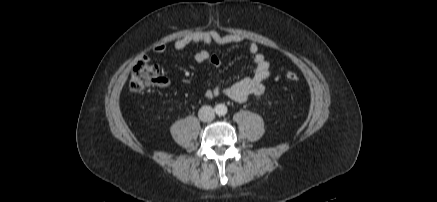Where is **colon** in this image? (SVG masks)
I'll return each instance as SVG.
<instances>
[{
  "instance_id": "colon-1",
  "label": "colon",
  "mask_w": 437,
  "mask_h": 202,
  "mask_svg": "<svg viewBox=\"0 0 437 202\" xmlns=\"http://www.w3.org/2000/svg\"><path fill=\"white\" fill-rule=\"evenodd\" d=\"M285 78L290 82H296L299 76L295 72L288 71L285 73ZM164 82L165 79L157 65L140 61L133 67L129 85L133 91L139 92L152 86L162 85Z\"/></svg>"
}]
</instances>
